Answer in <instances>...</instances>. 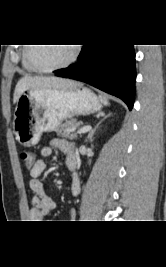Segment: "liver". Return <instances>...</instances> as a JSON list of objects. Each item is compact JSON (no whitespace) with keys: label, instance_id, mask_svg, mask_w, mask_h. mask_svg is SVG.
<instances>
[{"label":"liver","instance_id":"obj_1","mask_svg":"<svg viewBox=\"0 0 166 267\" xmlns=\"http://www.w3.org/2000/svg\"><path fill=\"white\" fill-rule=\"evenodd\" d=\"M80 86L78 83L58 78L54 76H41V77H31L25 76L21 78L14 91L13 95V103H17L21 94L26 90L35 89V90H43V89H58V90H66L73 89Z\"/></svg>","mask_w":166,"mask_h":267}]
</instances>
